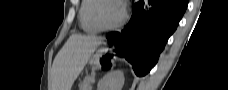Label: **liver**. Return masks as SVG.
Segmentation results:
<instances>
[{
  "label": "liver",
  "mask_w": 228,
  "mask_h": 90,
  "mask_svg": "<svg viewBox=\"0 0 228 90\" xmlns=\"http://www.w3.org/2000/svg\"><path fill=\"white\" fill-rule=\"evenodd\" d=\"M100 44H102L101 37L71 35L53 62V90H71L74 81Z\"/></svg>",
  "instance_id": "obj_1"
}]
</instances>
